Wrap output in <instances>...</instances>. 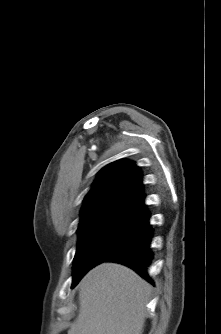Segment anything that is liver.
Segmentation results:
<instances>
[{
  "mask_svg": "<svg viewBox=\"0 0 221 334\" xmlns=\"http://www.w3.org/2000/svg\"><path fill=\"white\" fill-rule=\"evenodd\" d=\"M151 289L126 266H96L80 282L79 314L68 334H142Z\"/></svg>",
  "mask_w": 221,
  "mask_h": 334,
  "instance_id": "6515ba94",
  "label": "liver"
}]
</instances>
